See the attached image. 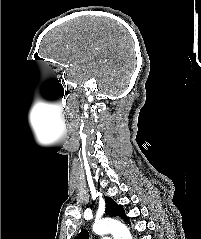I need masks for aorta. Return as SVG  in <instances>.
<instances>
[{"label":"aorta","mask_w":201,"mask_h":239,"mask_svg":"<svg viewBox=\"0 0 201 239\" xmlns=\"http://www.w3.org/2000/svg\"><path fill=\"white\" fill-rule=\"evenodd\" d=\"M93 231L99 235L110 233L114 239H132L128 228L123 223L111 218L96 221L93 224Z\"/></svg>","instance_id":"1"}]
</instances>
